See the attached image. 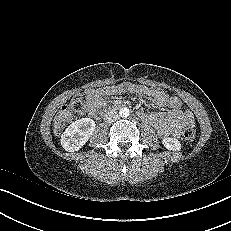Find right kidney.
<instances>
[{
  "mask_svg": "<svg viewBox=\"0 0 231 231\" xmlns=\"http://www.w3.org/2000/svg\"><path fill=\"white\" fill-rule=\"evenodd\" d=\"M95 122L90 118H81L70 124L61 135V145L69 152L78 151L95 130Z\"/></svg>",
  "mask_w": 231,
  "mask_h": 231,
  "instance_id": "obj_1",
  "label": "right kidney"
}]
</instances>
